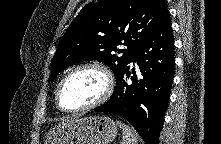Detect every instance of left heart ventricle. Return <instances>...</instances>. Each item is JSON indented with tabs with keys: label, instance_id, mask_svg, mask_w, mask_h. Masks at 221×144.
I'll list each match as a JSON object with an SVG mask.
<instances>
[{
	"label": "left heart ventricle",
	"instance_id": "obj_1",
	"mask_svg": "<svg viewBox=\"0 0 221 144\" xmlns=\"http://www.w3.org/2000/svg\"><path fill=\"white\" fill-rule=\"evenodd\" d=\"M105 86V78L98 70H80L66 81L62 90V104L67 108L90 104L102 95Z\"/></svg>",
	"mask_w": 221,
	"mask_h": 144
}]
</instances>
